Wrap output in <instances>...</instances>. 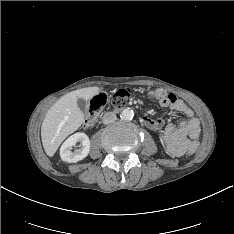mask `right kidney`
Masks as SVG:
<instances>
[{
	"label": "right kidney",
	"mask_w": 234,
	"mask_h": 234,
	"mask_svg": "<svg viewBox=\"0 0 234 234\" xmlns=\"http://www.w3.org/2000/svg\"><path fill=\"white\" fill-rule=\"evenodd\" d=\"M81 143V148L72 151V147ZM90 151V140L85 133L77 132L68 137L60 148L61 159L67 163H76L86 158Z\"/></svg>",
	"instance_id": "right-kidney-1"
}]
</instances>
